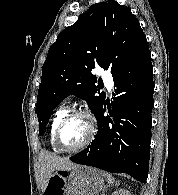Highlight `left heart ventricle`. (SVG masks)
<instances>
[{
  "instance_id": "1",
  "label": "left heart ventricle",
  "mask_w": 178,
  "mask_h": 195,
  "mask_svg": "<svg viewBox=\"0 0 178 195\" xmlns=\"http://www.w3.org/2000/svg\"><path fill=\"white\" fill-rule=\"evenodd\" d=\"M88 126L84 118H74L63 128L60 136L61 144L67 148L80 145L87 137Z\"/></svg>"
}]
</instances>
